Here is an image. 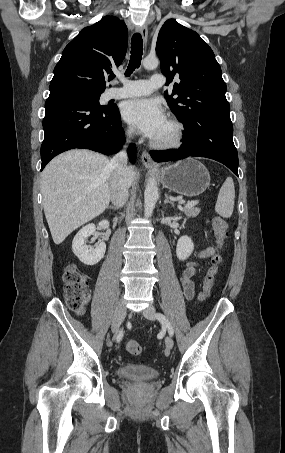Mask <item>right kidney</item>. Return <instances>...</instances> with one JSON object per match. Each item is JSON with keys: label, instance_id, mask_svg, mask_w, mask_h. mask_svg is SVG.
Segmentation results:
<instances>
[{"label": "right kidney", "instance_id": "ca27d5eb", "mask_svg": "<svg viewBox=\"0 0 285 453\" xmlns=\"http://www.w3.org/2000/svg\"><path fill=\"white\" fill-rule=\"evenodd\" d=\"M98 226L102 229H107L109 227V221L102 220ZM95 231V224H88L79 230L72 242L73 253L82 263L89 266L97 264L104 257L106 251L105 242H100L96 248L86 244L87 238L94 234Z\"/></svg>", "mask_w": 285, "mask_h": 453}]
</instances>
